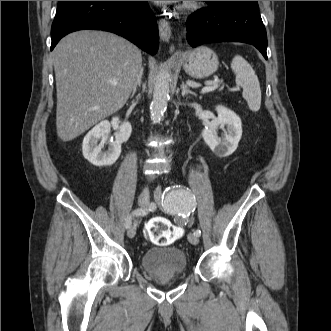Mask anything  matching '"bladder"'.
Segmentation results:
<instances>
[{
  "label": "bladder",
  "mask_w": 331,
  "mask_h": 331,
  "mask_svg": "<svg viewBox=\"0 0 331 331\" xmlns=\"http://www.w3.org/2000/svg\"><path fill=\"white\" fill-rule=\"evenodd\" d=\"M143 270L155 277L181 275L188 267L185 253L175 246L155 247L141 255Z\"/></svg>",
  "instance_id": "obj_1"
}]
</instances>
